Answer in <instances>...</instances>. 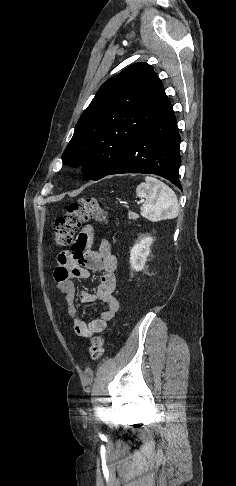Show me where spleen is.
Returning <instances> with one entry per match:
<instances>
[{
  "mask_svg": "<svg viewBox=\"0 0 236 486\" xmlns=\"http://www.w3.org/2000/svg\"><path fill=\"white\" fill-rule=\"evenodd\" d=\"M136 195L145 202L141 215L150 221L173 219L178 216L179 204L175 192L165 183L146 176L136 188Z\"/></svg>",
  "mask_w": 236,
  "mask_h": 486,
  "instance_id": "3e777b00",
  "label": "spleen"
}]
</instances>
